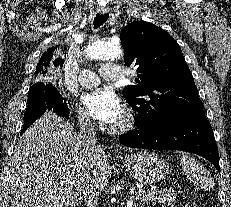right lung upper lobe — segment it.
Listing matches in <instances>:
<instances>
[{"label":"right lung upper lobe","instance_id":"obj_1","mask_svg":"<svg viewBox=\"0 0 231 207\" xmlns=\"http://www.w3.org/2000/svg\"><path fill=\"white\" fill-rule=\"evenodd\" d=\"M57 47L58 46L51 47L44 52V54L42 55L41 59L37 64L36 71L34 73L36 77L46 73L47 67L53 63V55L55 53V50H57ZM56 60H58V62L59 60L63 62V60L59 58H57Z\"/></svg>","mask_w":231,"mask_h":207}]
</instances>
